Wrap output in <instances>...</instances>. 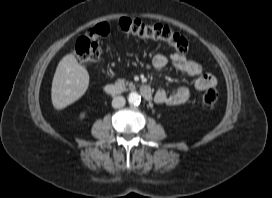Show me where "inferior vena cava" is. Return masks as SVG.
I'll use <instances>...</instances> for the list:
<instances>
[{
  "label": "inferior vena cava",
  "instance_id": "1",
  "mask_svg": "<svg viewBox=\"0 0 272 198\" xmlns=\"http://www.w3.org/2000/svg\"><path fill=\"white\" fill-rule=\"evenodd\" d=\"M126 100L123 96H116L112 100V107L113 108H121L125 105Z\"/></svg>",
  "mask_w": 272,
  "mask_h": 198
}]
</instances>
